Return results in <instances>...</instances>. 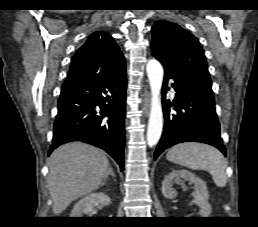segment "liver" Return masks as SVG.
<instances>
[{
  "instance_id": "obj_1",
  "label": "liver",
  "mask_w": 258,
  "mask_h": 227,
  "mask_svg": "<svg viewBox=\"0 0 258 227\" xmlns=\"http://www.w3.org/2000/svg\"><path fill=\"white\" fill-rule=\"evenodd\" d=\"M48 187L53 213L96 190L109 175V161L98 148L80 142L58 147L48 161Z\"/></svg>"
}]
</instances>
